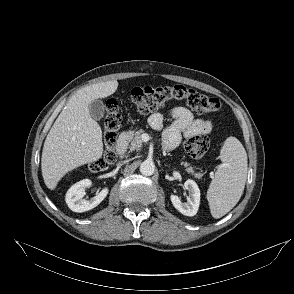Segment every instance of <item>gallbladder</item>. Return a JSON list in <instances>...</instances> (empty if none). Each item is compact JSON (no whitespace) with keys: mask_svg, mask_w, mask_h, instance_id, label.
<instances>
[{"mask_svg":"<svg viewBox=\"0 0 294 294\" xmlns=\"http://www.w3.org/2000/svg\"><path fill=\"white\" fill-rule=\"evenodd\" d=\"M89 112L93 119L100 120L104 115V103L97 99L89 104Z\"/></svg>","mask_w":294,"mask_h":294,"instance_id":"gallbladder-1","label":"gallbladder"}]
</instances>
